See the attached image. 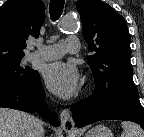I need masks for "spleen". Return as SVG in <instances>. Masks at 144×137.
<instances>
[{
	"mask_svg": "<svg viewBox=\"0 0 144 137\" xmlns=\"http://www.w3.org/2000/svg\"><path fill=\"white\" fill-rule=\"evenodd\" d=\"M122 128L123 133L121 137H144V131L133 122L124 121Z\"/></svg>",
	"mask_w": 144,
	"mask_h": 137,
	"instance_id": "3e777b00",
	"label": "spleen"
}]
</instances>
